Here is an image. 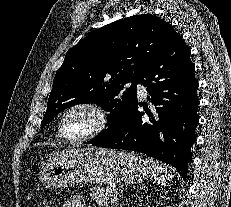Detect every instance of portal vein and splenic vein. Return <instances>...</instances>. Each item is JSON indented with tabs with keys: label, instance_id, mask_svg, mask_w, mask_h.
<instances>
[{
	"label": "portal vein and splenic vein",
	"instance_id": "obj_1",
	"mask_svg": "<svg viewBox=\"0 0 231 207\" xmlns=\"http://www.w3.org/2000/svg\"><path fill=\"white\" fill-rule=\"evenodd\" d=\"M113 201H117V197L113 199Z\"/></svg>",
	"mask_w": 231,
	"mask_h": 207
}]
</instances>
